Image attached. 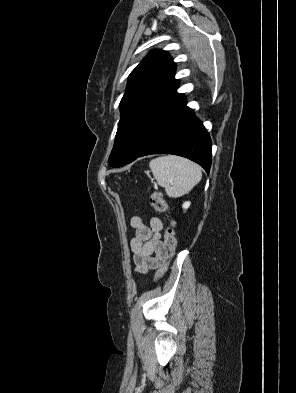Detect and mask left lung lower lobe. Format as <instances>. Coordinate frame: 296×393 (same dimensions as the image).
I'll return each instance as SVG.
<instances>
[{"instance_id": "1", "label": "left lung lower lobe", "mask_w": 296, "mask_h": 393, "mask_svg": "<svg viewBox=\"0 0 296 393\" xmlns=\"http://www.w3.org/2000/svg\"><path fill=\"white\" fill-rule=\"evenodd\" d=\"M211 149L208 132L180 94L149 125L125 164L150 154H174L198 163L209 173Z\"/></svg>"}]
</instances>
